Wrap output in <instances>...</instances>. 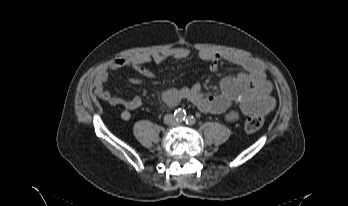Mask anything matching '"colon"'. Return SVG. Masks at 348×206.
Returning a JSON list of instances; mask_svg holds the SVG:
<instances>
[{"label":"colon","mask_w":348,"mask_h":206,"mask_svg":"<svg viewBox=\"0 0 348 206\" xmlns=\"http://www.w3.org/2000/svg\"><path fill=\"white\" fill-rule=\"evenodd\" d=\"M264 124V117L261 114H253L246 118L245 129L250 132L259 130Z\"/></svg>","instance_id":"obj_1"}]
</instances>
